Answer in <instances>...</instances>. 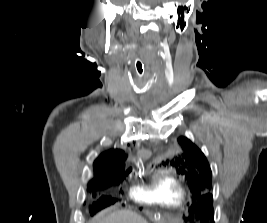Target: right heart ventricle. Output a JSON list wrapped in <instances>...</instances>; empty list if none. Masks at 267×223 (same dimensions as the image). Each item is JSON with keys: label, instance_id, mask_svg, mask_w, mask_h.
I'll return each instance as SVG.
<instances>
[{"label": "right heart ventricle", "instance_id": "right-heart-ventricle-1", "mask_svg": "<svg viewBox=\"0 0 267 223\" xmlns=\"http://www.w3.org/2000/svg\"><path fill=\"white\" fill-rule=\"evenodd\" d=\"M133 199L147 204L180 207L187 198L186 189L180 179L172 174H156L150 185L136 187L131 191Z\"/></svg>", "mask_w": 267, "mask_h": 223}]
</instances>
